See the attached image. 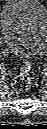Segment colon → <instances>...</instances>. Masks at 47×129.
Masks as SVG:
<instances>
[{
  "label": "colon",
  "mask_w": 47,
  "mask_h": 129,
  "mask_svg": "<svg viewBox=\"0 0 47 129\" xmlns=\"http://www.w3.org/2000/svg\"><path fill=\"white\" fill-rule=\"evenodd\" d=\"M31 85V64L26 60L19 72L14 76L12 80V87L17 92H26L30 89Z\"/></svg>",
  "instance_id": "1"
}]
</instances>
